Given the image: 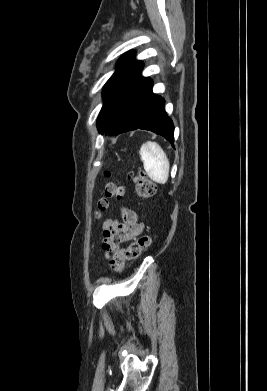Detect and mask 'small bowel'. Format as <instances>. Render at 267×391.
Returning <instances> with one entry per match:
<instances>
[{
  "label": "small bowel",
  "instance_id": "small-bowel-1",
  "mask_svg": "<svg viewBox=\"0 0 267 391\" xmlns=\"http://www.w3.org/2000/svg\"><path fill=\"white\" fill-rule=\"evenodd\" d=\"M143 230V224L138 221L137 214L129 209H123V222L109 219L103 224L102 249L107 259L119 250L122 243L129 242Z\"/></svg>",
  "mask_w": 267,
  "mask_h": 391
}]
</instances>
